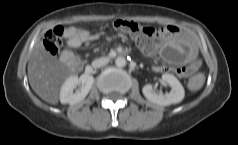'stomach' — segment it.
I'll return each mask as SVG.
<instances>
[{
    "label": "stomach",
    "mask_w": 238,
    "mask_h": 145,
    "mask_svg": "<svg viewBox=\"0 0 238 145\" xmlns=\"http://www.w3.org/2000/svg\"><path fill=\"white\" fill-rule=\"evenodd\" d=\"M174 39L185 51H192L195 48V41L193 37L184 29H177L174 32Z\"/></svg>",
    "instance_id": "obj_1"
}]
</instances>
